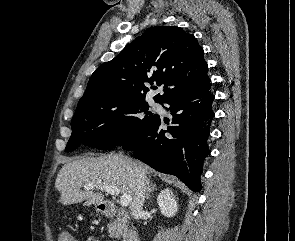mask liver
<instances>
[{
	"label": "liver",
	"mask_w": 295,
	"mask_h": 241,
	"mask_svg": "<svg viewBox=\"0 0 295 241\" xmlns=\"http://www.w3.org/2000/svg\"><path fill=\"white\" fill-rule=\"evenodd\" d=\"M134 167H138L145 174L150 171L145 164L121 154L67 161L59 171L55 182V187L60 192V202L63 205H70L84 201L86 206L105 203L101 192H93L95 188L99 189L96 186H116L123 195H134L136 190ZM88 184H93L95 187L83 191L81 188Z\"/></svg>",
	"instance_id": "liver-1"
}]
</instances>
